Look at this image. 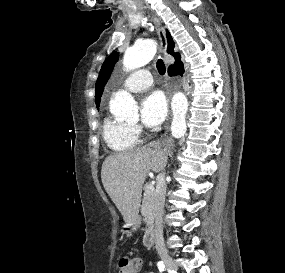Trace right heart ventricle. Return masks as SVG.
Returning a JSON list of instances; mask_svg holds the SVG:
<instances>
[{"label":"right heart ventricle","instance_id":"right-heart-ventricle-1","mask_svg":"<svg viewBox=\"0 0 285 273\" xmlns=\"http://www.w3.org/2000/svg\"><path fill=\"white\" fill-rule=\"evenodd\" d=\"M102 137L106 145L114 152H127L138 143L137 132L126 123L112 117H106L102 124Z\"/></svg>","mask_w":285,"mask_h":273}]
</instances>
